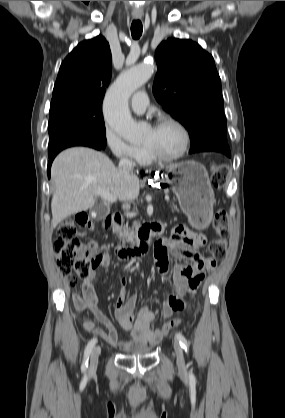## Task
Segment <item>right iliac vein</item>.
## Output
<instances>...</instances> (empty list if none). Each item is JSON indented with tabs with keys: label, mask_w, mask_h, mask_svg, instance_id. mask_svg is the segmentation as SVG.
<instances>
[{
	"label": "right iliac vein",
	"mask_w": 285,
	"mask_h": 418,
	"mask_svg": "<svg viewBox=\"0 0 285 418\" xmlns=\"http://www.w3.org/2000/svg\"><path fill=\"white\" fill-rule=\"evenodd\" d=\"M100 352H101L100 346H96L93 348L91 352V356H90L89 373H92L96 370Z\"/></svg>",
	"instance_id": "right-iliac-vein-1"
}]
</instances>
